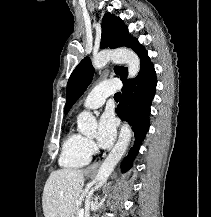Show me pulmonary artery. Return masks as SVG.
I'll return each instance as SVG.
<instances>
[{
    "instance_id": "obj_1",
    "label": "pulmonary artery",
    "mask_w": 211,
    "mask_h": 217,
    "mask_svg": "<svg viewBox=\"0 0 211 217\" xmlns=\"http://www.w3.org/2000/svg\"><path fill=\"white\" fill-rule=\"evenodd\" d=\"M121 88V82L118 79H108L97 83L88 93L83 102V109L93 110L101 107L106 98Z\"/></svg>"
}]
</instances>
